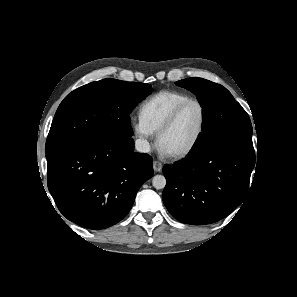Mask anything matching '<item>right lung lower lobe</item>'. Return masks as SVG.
<instances>
[{"label": "right lung lower lobe", "instance_id": "obj_1", "mask_svg": "<svg viewBox=\"0 0 297 297\" xmlns=\"http://www.w3.org/2000/svg\"><path fill=\"white\" fill-rule=\"evenodd\" d=\"M152 165L148 154L134 153L131 137L86 142L47 159L48 189L68 220L103 229L128 214Z\"/></svg>", "mask_w": 297, "mask_h": 297}]
</instances>
